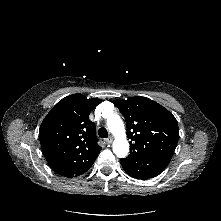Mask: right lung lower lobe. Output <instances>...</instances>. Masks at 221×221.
I'll use <instances>...</instances> for the list:
<instances>
[{"instance_id": "obj_1", "label": "right lung lower lobe", "mask_w": 221, "mask_h": 221, "mask_svg": "<svg viewBox=\"0 0 221 221\" xmlns=\"http://www.w3.org/2000/svg\"><path fill=\"white\" fill-rule=\"evenodd\" d=\"M92 164H93V163H92ZM92 164H91L90 166H88L87 168H85V169H84L82 172H80L79 174L75 175L74 177L79 176V175L85 173V172L92 166Z\"/></svg>"}]
</instances>
